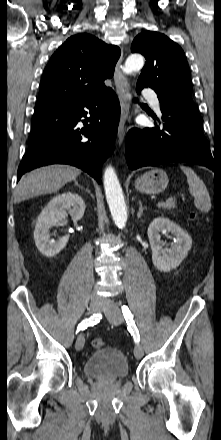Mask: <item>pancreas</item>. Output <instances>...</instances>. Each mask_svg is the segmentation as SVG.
<instances>
[{"label":"pancreas","instance_id":"pancreas-1","mask_svg":"<svg viewBox=\"0 0 221 440\" xmlns=\"http://www.w3.org/2000/svg\"><path fill=\"white\" fill-rule=\"evenodd\" d=\"M160 208L164 209V210H171L176 208V201L175 200H168L164 203H162V205L159 206Z\"/></svg>","mask_w":221,"mask_h":440}]
</instances>
